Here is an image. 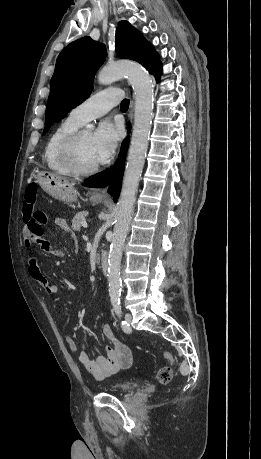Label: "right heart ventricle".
<instances>
[{"label":"right heart ventricle","mask_w":261,"mask_h":459,"mask_svg":"<svg viewBox=\"0 0 261 459\" xmlns=\"http://www.w3.org/2000/svg\"><path fill=\"white\" fill-rule=\"evenodd\" d=\"M81 126L80 122L68 116L52 130L44 149V160L50 170L66 176L73 175L61 159V147L64 140Z\"/></svg>","instance_id":"right-heart-ventricle-1"}]
</instances>
